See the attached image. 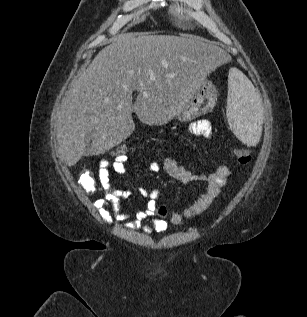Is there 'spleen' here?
<instances>
[{
  "mask_svg": "<svg viewBox=\"0 0 307 317\" xmlns=\"http://www.w3.org/2000/svg\"><path fill=\"white\" fill-rule=\"evenodd\" d=\"M227 119L236 137L247 146H255L261 137L263 112L259 95L237 69L229 71Z\"/></svg>",
  "mask_w": 307,
  "mask_h": 317,
  "instance_id": "spleen-1",
  "label": "spleen"
}]
</instances>
